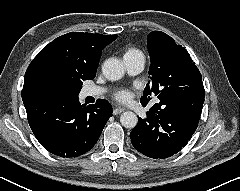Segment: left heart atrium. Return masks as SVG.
<instances>
[{"instance_id":"39dd6f15","label":"left heart atrium","mask_w":240,"mask_h":191,"mask_svg":"<svg viewBox=\"0 0 240 191\" xmlns=\"http://www.w3.org/2000/svg\"><path fill=\"white\" fill-rule=\"evenodd\" d=\"M131 96H132L131 92L126 89L118 90L114 95L115 99L121 103L129 101Z\"/></svg>"}]
</instances>
